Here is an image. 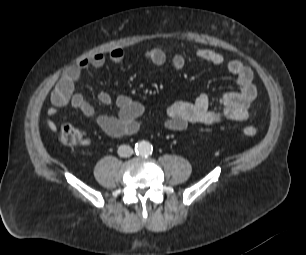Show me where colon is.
Here are the masks:
<instances>
[{
    "label": "colon",
    "mask_w": 306,
    "mask_h": 255,
    "mask_svg": "<svg viewBox=\"0 0 306 255\" xmlns=\"http://www.w3.org/2000/svg\"><path fill=\"white\" fill-rule=\"evenodd\" d=\"M242 132L247 137H254L257 129L252 125H245ZM60 141L65 146H76L84 142L81 132L70 124H65L60 130Z\"/></svg>",
    "instance_id": "1"
}]
</instances>
